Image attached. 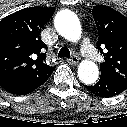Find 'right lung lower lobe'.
<instances>
[{
	"instance_id": "1",
	"label": "right lung lower lobe",
	"mask_w": 127,
	"mask_h": 127,
	"mask_svg": "<svg viewBox=\"0 0 127 127\" xmlns=\"http://www.w3.org/2000/svg\"><path fill=\"white\" fill-rule=\"evenodd\" d=\"M52 72H49L47 75L41 78L18 76V77L3 79L0 81V86L7 92L16 95H25L34 91L39 86L44 84L48 80Z\"/></svg>"
}]
</instances>
